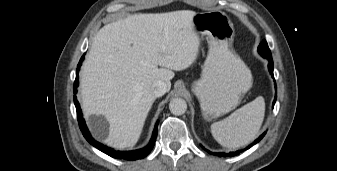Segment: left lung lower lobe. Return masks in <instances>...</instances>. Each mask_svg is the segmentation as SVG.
I'll use <instances>...</instances> for the list:
<instances>
[{
    "mask_svg": "<svg viewBox=\"0 0 337 171\" xmlns=\"http://www.w3.org/2000/svg\"><path fill=\"white\" fill-rule=\"evenodd\" d=\"M265 58H267L268 59V61H269V65H268V67H269V71L270 72H273V60H272V57H265ZM273 76V75H272ZM273 78H274V76H273ZM275 89H276V86H275ZM276 98H277V96L275 95V99H274V101H273V106H274V104H275V102H276ZM266 134V132H264L262 135H260L259 136V138L258 139H256L252 144H250L248 147H246L245 149H249L250 147H252L253 145H255L256 143H258L263 137H264V135ZM207 152H209L210 154H214V155H218L219 157H221V156H230V157H232V156H235V155H238L240 152H241V150H238V151H236V152H230L229 154H226V153H211L210 151H208V150H206Z\"/></svg>",
    "mask_w": 337,
    "mask_h": 171,
    "instance_id": "0a47b994",
    "label": "left lung lower lobe"
}]
</instances>
